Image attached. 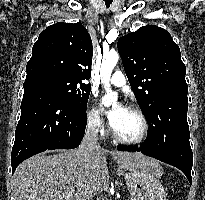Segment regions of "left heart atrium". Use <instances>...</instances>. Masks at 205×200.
Listing matches in <instances>:
<instances>
[{"mask_svg":"<svg viewBox=\"0 0 205 200\" xmlns=\"http://www.w3.org/2000/svg\"><path fill=\"white\" fill-rule=\"evenodd\" d=\"M123 109H124V107L119 106V107L116 108V109L107 111V116H108V119H109V121H110L111 126L113 125V123H114L115 120L117 119V117H118L120 111L123 110Z\"/></svg>","mask_w":205,"mask_h":200,"instance_id":"39dd6f15","label":"left heart atrium"}]
</instances>
